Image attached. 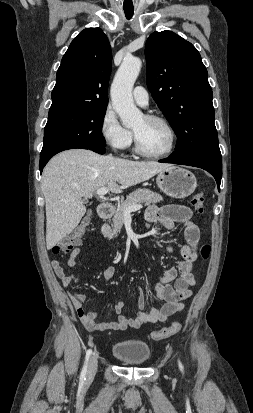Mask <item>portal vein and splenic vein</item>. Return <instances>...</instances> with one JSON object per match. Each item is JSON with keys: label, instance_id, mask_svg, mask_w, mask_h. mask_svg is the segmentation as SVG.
Here are the masks:
<instances>
[{"label": "portal vein and splenic vein", "instance_id": "portal-vein-and-splenic-vein-1", "mask_svg": "<svg viewBox=\"0 0 253 413\" xmlns=\"http://www.w3.org/2000/svg\"><path fill=\"white\" fill-rule=\"evenodd\" d=\"M107 192H108V188L106 186H103L102 188H100L96 191V193L101 197L106 195ZM141 208H142V205H140V204L126 207L124 209V214H125V216L130 215L131 212H135L137 210H140Z\"/></svg>", "mask_w": 253, "mask_h": 413}]
</instances>
